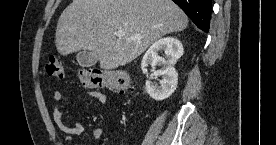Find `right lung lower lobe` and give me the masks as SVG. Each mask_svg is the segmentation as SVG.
I'll use <instances>...</instances> for the list:
<instances>
[{"label": "right lung lower lobe", "mask_w": 276, "mask_h": 145, "mask_svg": "<svg viewBox=\"0 0 276 145\" xmlns=\"http://www.w3.org/2000/svg\"><path fill=\"white\" fill-rule=\"evenodd\" d=\"M201 30L208 32L212 0H172Z\"/></svg>", "instance_id": "obj_1"}]
</instances>
